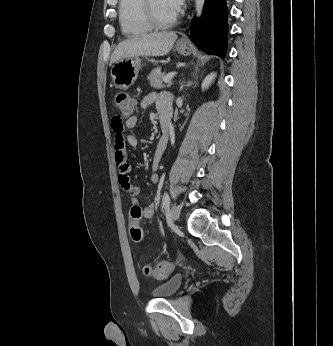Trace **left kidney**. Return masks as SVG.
Instances as JSON below:
<instances>
[{"label":"left kidney","mask_w":333,"mask_h":346,"mask_svg":"<svg viewBox=\"0 0 333 346\" xmlns=\"http://www.w3.org/2000/svg\"><path fill=\"white\" fill-rule=\"evenodd\" d=\"M216 74L211 73L209 74L202 82V90L207 89L209 85H211L212 81L215 79Z\"/></svg>","instance_id":"1"}]
</instances>
